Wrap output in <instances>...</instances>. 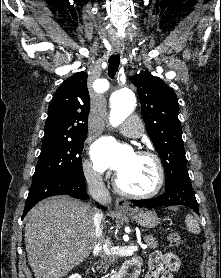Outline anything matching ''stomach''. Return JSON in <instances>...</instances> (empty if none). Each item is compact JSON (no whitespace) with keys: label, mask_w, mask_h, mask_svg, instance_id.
Wrapping results in <instances>:
<instances>
[{"label":"stomach","mask_w":221,"mask_h":278,"mask_svg":"<svg viewBox=\"0 0 221 278\" xmlns=\"http://www.w3.org/2000/svg\"><path fill=\"white\" fill-rule=\"evenodd\" d=\"M128 216L134 219L138 224L146 228H153L159 223V218L153 211H137L131 210L125 212Z\"/></svg>","instance_id":"1"}]
</instances>
